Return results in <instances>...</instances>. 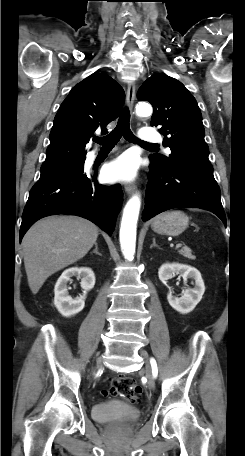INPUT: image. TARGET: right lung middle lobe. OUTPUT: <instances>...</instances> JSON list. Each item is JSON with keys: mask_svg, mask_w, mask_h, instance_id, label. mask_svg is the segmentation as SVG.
Returning <instances> with one entry per match:
<instances>
[{"mask_svg": "<svg viewBox=\"0 0 245 456\" xmlns=\"http://www.w3.org/2000/svg\"><path fill=\"white\" fill-rule=\"evenodd\" d=\"M84 161L78 160L71 163L50 167V168H41L40 178H46L51 176H57L66 173H75L84 169Z\"/></svg>", "mask_w": 245, "mask_h": 456, "instance_id": "1", "label": "right lung middle lobe"}]
</instances>
